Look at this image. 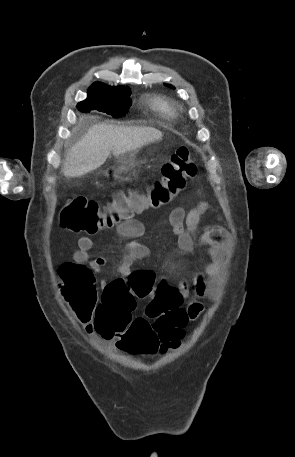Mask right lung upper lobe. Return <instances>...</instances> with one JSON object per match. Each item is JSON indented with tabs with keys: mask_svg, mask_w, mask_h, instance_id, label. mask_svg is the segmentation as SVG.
Wrapping results in <instances>:
<instances>
[{
	"mask_svg": "<svg viewBox=\"0 0 295 457\" xmlns=\"http://www.w3.org/2000/svg\"><path fill=\"white\" fill-rule=\"evenodd\" d=\"M125 88H127V87H121V86L109 87L100 82H96L90 86L88 91H116V90H121V89H125Z\"/></svg>",
	"mask_w": 295,
	"mask_h": 457,
	"instance_id": "1",
	"label": "right lung upper lobe"
}]
</instances>
